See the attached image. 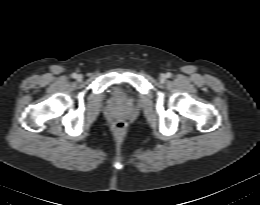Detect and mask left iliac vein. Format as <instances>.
Here are the masks:
<instances>
[{
  "label": "left iliac vein",
  "mask_w": 260,
  "mask_h": 205,
  "mask_svg": "<svg viewBox=\"0 0 260 205\" xmlns=\"http://www.w3.org/2000/svg\"><path fill=\"white\" fill-rule=\"evenodd\" d=\"M165 80H166L165 74H161V76H160V81H161V82H164Z\"/></svg>",
  "instance_id": "4c4485c4"
}]
</instances>
